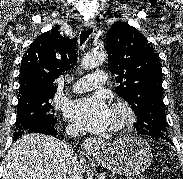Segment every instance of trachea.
<instances>
[{"label":"trachea","mask_w":183,"mask_h":179,"mask_svg":"<svg viewBox=\"0 0 183 179\" xmlns=\"http://www.w3.org/2000/svg\"><path fill=\"white\" fill-rule=\"evenodd\" d=\"M93 29L89 28L86 29L85 31H82L81 35H80V43L83 44L87 38L89 37V35L92 33Z\"/></svg>","instance_id":"obj_1"}]
</instances>
